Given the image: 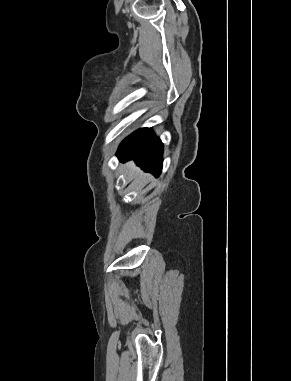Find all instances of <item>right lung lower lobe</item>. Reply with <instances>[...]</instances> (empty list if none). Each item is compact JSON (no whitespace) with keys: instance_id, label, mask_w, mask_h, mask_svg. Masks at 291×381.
<instances>
[{"instance_id":"right-lung-lower-lobe-1","label":"right lung lower lobe","mask_w":291,"mask_h":381,"mask_svg":"<svg viewBox=\"0 0 291 381\" xmlns=\"http://www.w3.org/2000/svg\"><path fill=\"white\" fill-rule=\"evenodd\" d=\"M163 144L151 128H141L129 135L119 146L120 161L134 160L144 171L160 175Z\"/></svg>"}]
</instances>
